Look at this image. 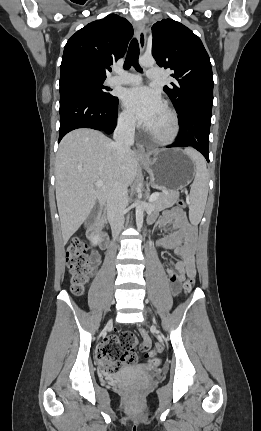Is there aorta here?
Instances as JSON below:
<instances>
[{
  "label": "aorta",
  "instance_id": "aorta-1",
  "mask_svg": "<svg viewBox=\"0 0 261 431\" xmlns=\"http://www.w3.org/2000/svg\"><path fill=\"white\" fill-rule=\"evenodd\" d=\"M155 63V60L152 56H142L139 59V64L143 67H151L153 66ZM136 207V224H137V228L140 230L142 228L143 225V207L137 202L135 204Z\"/></svg>",
  "mask_w": 261,
  "mask_h": 431
}]
</instances>
